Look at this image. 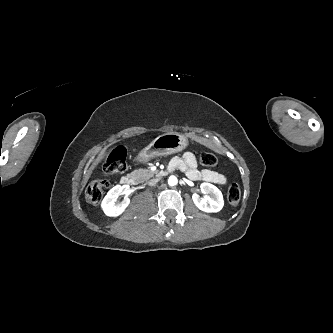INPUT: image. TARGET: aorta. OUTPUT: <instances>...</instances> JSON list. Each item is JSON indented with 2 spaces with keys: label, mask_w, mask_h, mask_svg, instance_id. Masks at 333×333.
<instances>
[{
  "label": "aorta",
  "mask_w": 333,
  "mask_h": 333,
  "mask_svg": "<svg viewBox=\"0 0 333 333\" xmlns=\"http://www.w3.org/2000/svg\"><path fill=\"white\" fill-rule=\"evenodd\" d=\"M168 184H169L170 186H176V185L178 184V179H177V177L174 176V175H171V176L169 177V179H168Z\"/></svg>",
  "instance_id": "762f6f07"
}]
</instances>
